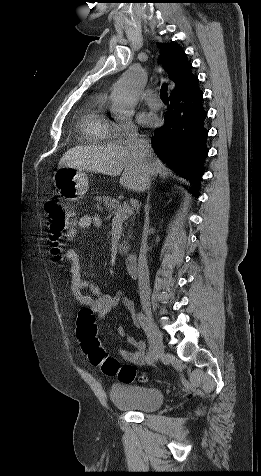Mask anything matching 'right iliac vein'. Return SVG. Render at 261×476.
<instances>
[{"label":"right iliac vein","instance_id":"right-iliac-vein-1","mask_svg":"<svg viewBox=\"0 0 261 476\" xmlns=\"http://www.w3.org/2000/svg\"><path fill=\"white\" fill-rule=\"evenodd\" d=\"M146 315H147V324H148V327H150L152 329V336H153V351H154V357H155V360H158L160 359L163 355H164V344H163V340H162V335H161V332L159 331V329L157 328L153 318H152V315H151V312L150 310L146 309Z\"/></svg>","mask_w":261,"mask_h":476}]
</instances>
